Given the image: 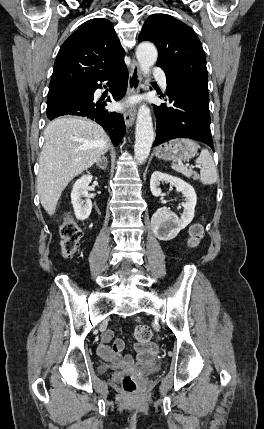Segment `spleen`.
<instances>
[{
  "instance_id": "obj_1",
  "label": "spleen",
  "mask_w": 264,
  "mask_h": 429,
  "mask_svg": "<svg viewBox=\"0 0 264 429\" xmlns=\"http://www.w3.org/2000/svg\"><path fill=\"white\" fill-rule=\"evenodd\" d=\"M196 163L200 166V181L204 185H211L218 179V172L214 164L213 158L207 149H202ZM172 169L182 173L186 177H190L192 171L180 164H172Z\"/></svg>"
}]
</instances>
